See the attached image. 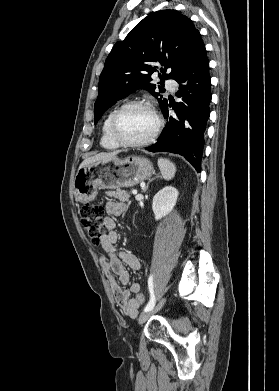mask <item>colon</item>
<instances>
[{
    "label": "colon",
    "instance_id": "1",
    "mask_svg": "<svg viewBox=\"0 0 279 391\" xmlns=\"http://www.w3.org/2000/svg\"><path fill=\"white\" fill-rule=\"evenodd\" d=\"M81 222L92 243L101 242L104 227V209L100 204L88 203L81 209ZM136 300L139 306L145 302L144 295L138 294Z\"/></svg>",
    "mask_w": 279,
    "mask_h": 391
}]
</instances>
